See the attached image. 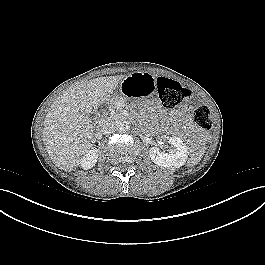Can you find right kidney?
I'll use <instances>...</instances> for the list:
<instances>
[{
	"mask_svg": "<svg viewBox=\"0 0 265 265\" xmlns=\"http://www.w3.org/2000/svg\"><path fill=\"white\" fill-rule=\"evenodd\" d=\"M97 159L98 150L96 148H91L85 155L81 157L79 165L85 170L91 169L93 166H95Z\"/></svg>",
	"mask_w": 265,
	"mask_h": 265,
	"instance_id": "ca27d5eb",
	"label": "right kidney"
}]
</instances>
